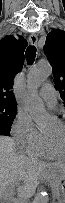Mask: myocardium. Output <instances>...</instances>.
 Instances as JSON below:
<instances>
[{"instance_id": "f54148a6", "label": "myocardium", "mask_w": 65, "mask_h": 203, "mask_svg": "<svg viewBox=\"0 0 65 203\" xmlns=\"http://www.w3.org/2000/svg\"><path fill=\"white\" fill-rule=\"evenodd\" d=\"M63 128H64V144H65V122H61ZM49 146V149L51 153L57 157H65V151L60 152L58 148V144L56 141L50 139L49 137H45Z\"/></svg>"}]
</instances>
